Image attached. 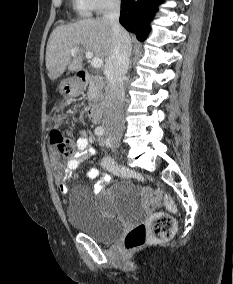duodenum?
Instances as JSON below:
<instances>
[{"mask_svg":"<svg viewBox=\"0 0 233 284\" xmlns=\"http://www.w3.org/2000/svg\"><path fill=\"white\" fill-rule=\"evenodd\" d=\"M77 80L79 85H87L88 83H92L94 87L98 90L102 89L105 85V80L103 76L100 75H91L86 70H79L77 72ZM103 101L101 99L96 100L88 109V116L90 120L99 124L103 118Z\"/></svg>","mask_w":233,"mask_h":284,"instance_id":"obj_1","label":"duodenum"}]
</instances>
